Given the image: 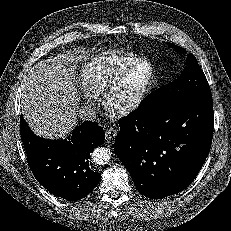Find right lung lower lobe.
<instances>
[{
	"instance_id": "obj_1",
	"label": "right lung lower lobe",
	"mask_w": 231,
	"mask_h": 231,
	"mask_svg": "<svg viewBox=\"0 0 231 231\" xmlns=\"http://www.w3.org/2000/svg\"><path fill=\"white\" fill-rule=\"evenodd\" d=\"M20 135L33 175L49 192L76 201L96 187L100 173L91 170L88 159L105 139L104 130L96 122L76 126L65 140H46L37 137L21 116Z\"/></svg>"
}]
</instances>
